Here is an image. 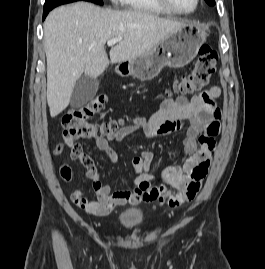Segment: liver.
Here are the masks:
<instances>
[{"instance_id":"obj_1","label":"liver","mask_w":265,"mask_h":269,"mask_svg":"<svg viewBox=\"0 0 265 269\" xmlns=\"http://www.w3.org/2000/svg\"><path fill=\"white\" fill-rule=\"evenodd\" d=\"M186 23L137 11L100 8L87 2L60 6L44 22L47 102L51 117L70 103L77 80L96 79L109 64L108 40L122 37L110 50V63H122L151 51Z\"/></svg>"}]
</instances>
